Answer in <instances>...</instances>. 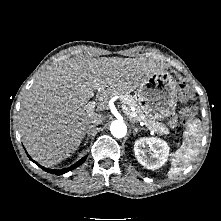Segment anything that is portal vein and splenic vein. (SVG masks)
I'll list each match as a JSON object with an SVG mask.
<instances>
[{
	"instance_id": "obj_1",
	"label": "portal vein and splenic vein",
	"mask_w": 221,
	"mask_h": 221,
	"mask_svg": "<svg viewBox=\"0 0 221 221\" xmlns=\"http://www.w3.org/2000/svg\"><path fill=\"white\" fill-rule=\"evenodd\" d=\"M122 109H123L124 113H126L128 116L131 115L129 108L126 105H122ZM152 132H154V131L152 130Z\"/></svg>"
}]
</instances>
